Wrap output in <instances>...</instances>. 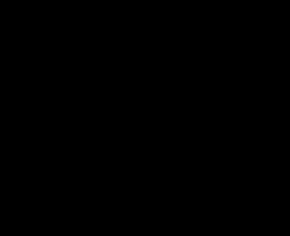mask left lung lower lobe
<instances>
[{
    "label": "left lung lower lobe",
    "mask_w": 290,
    "mask_h": 236,
    "mask_svg": "<svg viewBox=\"0 0 290 236\" xmlns=\"http://www.w3.org/2000/svg\"><path fill=\"white\" fill-rule=\"evenodd\" d=\"M241 122L240 94L232 92L158 129L155 157L166 186L186 196L211 186L229 164Z\"/></svg>",
    "instance_id": "left-lung-lower-lobe-1"
}]
</instances>
